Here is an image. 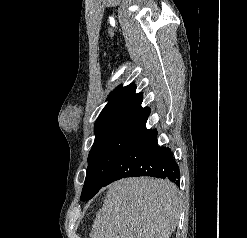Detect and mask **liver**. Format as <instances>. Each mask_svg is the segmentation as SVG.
Returning <instances> with one entry per match:
<instances>
[{
    "label": "liver",
    "instance_id": "liver-1",
    "mask_svg": "<svg viewBox=\"0 0 247 238\" xmlns=\"http://www.w3.org/2000/svg\"><path fill=\"white\" fill-rule=\"evenodd\" d=\"M180 207L178 188L168 180H119L108 186L90 238H170Z\"/></svg>",
    "mask_w": 247,
    "mask_h": 238
}]
</instances>
